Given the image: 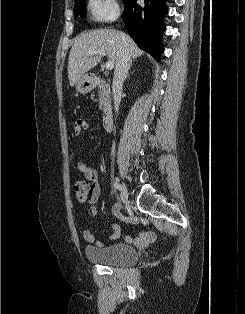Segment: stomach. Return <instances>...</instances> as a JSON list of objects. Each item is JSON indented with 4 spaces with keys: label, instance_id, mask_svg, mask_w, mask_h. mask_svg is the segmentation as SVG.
<instances>
[{
    "label": "stomach",
    "instance_id": "stomach-1",
    "mask_svg": "<svg viewBox=\"0 0 245 314\" xmlns=\"http://www.w3.org/2000/svg\"><path fill=\"white\" fill-rule=\"evenodd\" d=\"M94 88V79L92 76L83 75L76 82V91L81 94L89 93Z\"/></svg>",
    "mask_w": 245,
    "mask_h": 314
}]
</instances>
